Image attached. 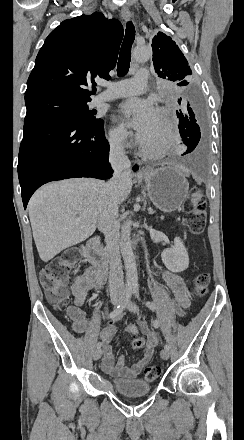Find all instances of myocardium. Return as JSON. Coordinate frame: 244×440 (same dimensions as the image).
Instances as JSON below:
<instances>
[{"label":"myocardium","mask_w":244,"mask_h":440,"mask_svg":"<svg viewBox=\"0 0 244 440\" xmlns=\"http://www.w3.org/2000/svg\"><path fill=\"white\" fill-rule=\"evenodd\" d=\"M156 113H160V114L164 115L165 121H166V124H167V128H168L170 126L171 118H172L171 112L169 110H167L166 108L159 107V108H157ZM163 138H164V136L162 138H160L159 140H157V141H144V142H142V145H153L156 142L162 141ZM164 154H165L164 152H161L158 155H156V157L157 158H161V157L164 156Z\"/></svg>","instance_id":"1"}]
</instances>
